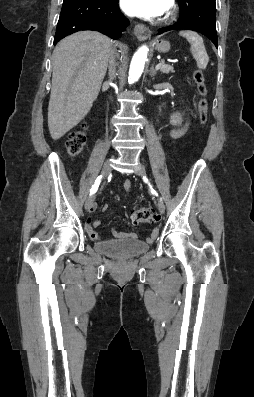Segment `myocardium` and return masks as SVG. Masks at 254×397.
Returning a JSON list of instances; mask_svg holds the SVG:
<instances>
[{
    "instance_id": "f54148a6",
    "label": "myocardium",
    "mask_w": 254,
    "mask_h": 397,
    "mask_svg": "<svg viewBox=\"0 0 254 397\" xmlns=\"http://www.w3.org/2000/svg\"><path fill=\"white\" fill-rule=\"evenodd\" d=\"M175 15H176V12H175V10L172 8V9L168 12V14L166 15L164 21H165V22H170V21H172V20L175 18Z\"/></svg>"
}]
</instances>
